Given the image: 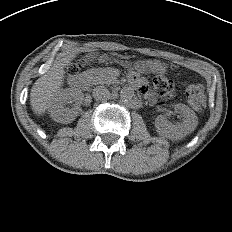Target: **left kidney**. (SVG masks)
Here are the masks:
<instances>
[{
    "label": "left kidney",
    "mask_w": 232,
    "mask_h": 232,
    "mask_svg": "<svg viewBox=\"0 0 232 232\" xmlns=\"http://www.w3.org/2000/svg\"><path fill=\"white\" fill-rule=\"evenodd\" d=\"M174 108L182 114V122L173 124L167 119L166 114H160L155 119V128L159 135L168 139H182L195 130L198 118L195 112L185 104H175Z\"/></svg>",
    "instance_id": "1"
}]
</instances>
